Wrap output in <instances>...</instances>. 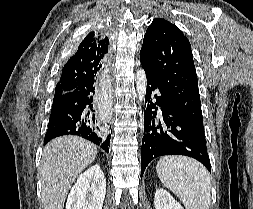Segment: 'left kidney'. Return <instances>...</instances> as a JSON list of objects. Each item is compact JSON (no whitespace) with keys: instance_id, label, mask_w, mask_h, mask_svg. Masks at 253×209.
<instances>
[{"instance_id":"5707ae66","label":"left kidney","mask_w":253,"mask_h":209,"mask_svg":"<svg viewBox=\"0 0 253 209\" xmlns=\"http://www.w3.org/2000/svg\"><path fill=\"white\" fill-rule=\"evenodd\" d=\"M155 209H184L167 190L159 188L154 196Z\"/></svg>"}]
</instances>
